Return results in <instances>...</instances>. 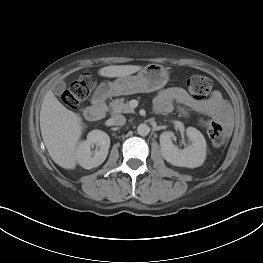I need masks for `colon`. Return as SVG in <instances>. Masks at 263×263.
I'll return each instance as SVG.
<instances>
[{
	"mask_svg": "<svg viewBox=\"0 0 263 263\" xmlns=\"http://www.w3.org/2000/svg\"><path fill=\"white\" fill-rule=\"evenodd\" d=\"M94 86V79L88 74L82 75L74 81L64 92L62 99L66 106L77 109L90 95ZM188 91L192 96L203 99L212 89V81L203 75L190 76L186 81ZM201 124L205 128L211 142L216 147H221L226 142L224 130L219 122L211 118H202Z\"/></svg>",
	"mask_w": 263,
	"mask_h": 263,
	"instance_id": "obj_1",
	"label": "colon"
}]
</instances>
